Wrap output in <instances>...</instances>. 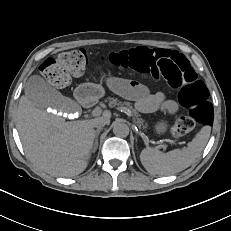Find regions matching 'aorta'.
<instances>
[{"label":"aorta","mask_w":231,"mask_h":231,"mask_svg":"<svg viewBox=\"0 0 231 231\" xmlns=\"http://www.w3.org/2000/svg\"><path fill=\"white\" fill-rule=\"evenodd\" d=\"M113 133L118 137H127L129 134V127L122 122H116L113 126Z\"/></svg>","instance_id":"762f6f07"}]
</instances>
